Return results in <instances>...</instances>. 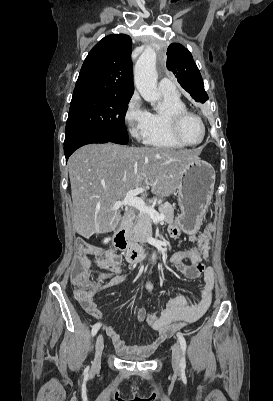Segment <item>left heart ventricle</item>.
<instances>
[{
    "label": "left heart ventricle",
    "instance_id": "b2bd125f",
    "mask_svg": "<svg viewBox=\"0 0 273 401\" xmlns=\"http://www.w3.org/2000/svg\"><path fill=\"white\" fill-rule=\"evenodd\" d=\"M181 137L189 142L196 143L203 138V127L199 119L195 116H187L179 127Z\"/></svg>",
    "mask_w": 273,
    "mask_h": 401
}]
</instances>
